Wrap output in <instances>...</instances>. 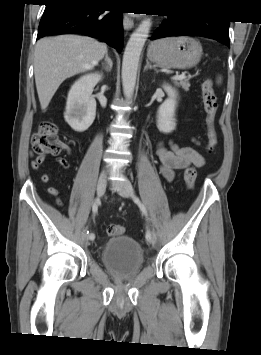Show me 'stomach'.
I'll list each match as a JSON object with an SVG mask.
<instances>
[{
  "label": "stomach",
  "mask_w": 261,
  "mask_h": 355,
  "mask_svg": "<svg viewBox=\"0 0 261 355\" xmlns=\"http://www.w3.org/2000/svg\"><path fill=\"white\" fill-rule=\"evenodd\" d=\"M201 56V44L185 36L156 40L147 51L148 59L163 68H190L199 62Z\"/></svg>",
  "instance_id": "obj_1"
}]
</instances>
